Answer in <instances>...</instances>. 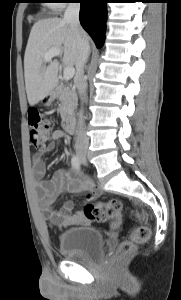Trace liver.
Here are the masks:
<instances>
[{"label":"liver","instance_id":"1","mask_svg":"<svg viewBox=\"0 0 181 300\" xmlns=\"http://www.w3.org/2000/svg\"><path fill=\"white\" fill-rule=\"evenodd\" d=\"M77 32L88 40L82 28L76 31L60 18L42 19L33 25L24 56L25 88L31 106L52 92L58 84L59 63L54 59L46 66L45 53L53 48H61L64 53L63 65L73 67L78 57Z\"/></svg>","mask_w":181,"mask_h":300}]
</instances>
